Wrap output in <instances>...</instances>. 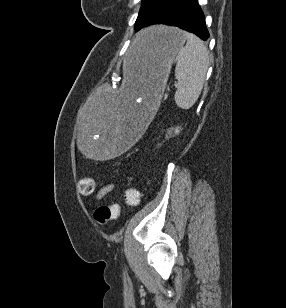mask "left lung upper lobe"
I'll return each mask as SVG.
<instances>
[{
  "label": "left lung upper lobe",
  "instance_id": "1",
  "mask_svg": "<svg viewBox=\"0 0 286 308\" xmlns=\"http://www.w3.org/2000/svg\"><path fill=\"white\" fill-rule=\"evenodd\" d=\"M172 0H142L138 18L135 22L136 31L153 23L160 12L167 7Z\"/></svg>",
  "mask_w": 286,
  "mask_h": 308
}]
</instances>
